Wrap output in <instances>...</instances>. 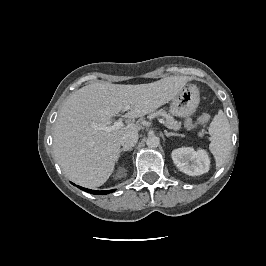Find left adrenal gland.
<instances>
[{
	"instance_id": "1",
	"label": "left adrenal gland",
	"mask_w": 266,
	"mask_h": 266,
	"mask_svg": "<svg viewBox=\"0 0 266 266\" xmlns=\"http://www.w3.org/2000/svg\"><path fill=\"white\" fill-rule=\"evenodd\" d=\"M165 135H166V137H170V136H183V135H180V134H177V133L167 132V131H165Z\"/></svg>"
}]
</instances>
